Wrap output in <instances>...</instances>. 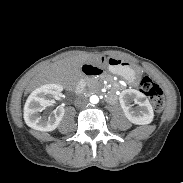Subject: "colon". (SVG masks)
<instances>
[{
  "instance_id": "1",
  "label": "colon",
  "mask_w": 183,
  "mask_h": 183,
  "mask_svg": "<svg viewBox=\"0 0 183 183\" xmlns=\"http://www.w3.org/2000/svg\"><path fill=\"white\" fill-rule=\"evenodd\" d=\"M141 91L151 99L155 112L160 113L165 104L162 88L150 77H144L141 81Z\"/></svg>"
}]
</instances>
